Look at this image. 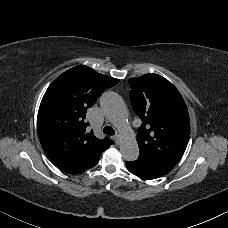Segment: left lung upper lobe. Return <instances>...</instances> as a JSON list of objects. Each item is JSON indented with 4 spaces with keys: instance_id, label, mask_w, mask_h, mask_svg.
Masks as SVG:
<instances>
[{
    "instance_id": "left-lung-upper-lobe-1",
    "label": "left lung upper lobe",
    "mask_w": 228,
    "mask_h": 228,
    "mask_svg": "<svg viewBox=\"0 0 228 228\" xmlns=\"http://www.w3.org/2000/svg\"><path fill=\"white\" fill-rule=\"evenodd\" d=\"M128 82L133 110L142 120L137 133L140 155L176 165L190 136L189 114L181 94L157 74L134 77Z\"/></svg>"
}]
</instances>
